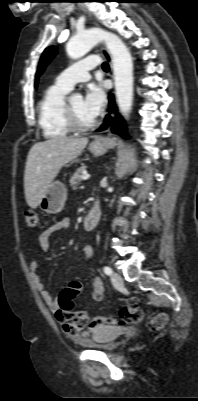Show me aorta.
Here are the masks:
<instances>
[{
  "instance_id": "aorta-1",
  "label": "aorta",
  "mask_w": 198,
  "mask_h": 401,
  "mask_svg": "<svg viewBox=\"0 0 198 401\" xmlns=\"http://www.w3.org/2000/svg\"><path fill=\"white\" fill-rule=\"evenodd\" d=\"M100 41H104L112 56L115 91L120 112L127 117L133 102V62L123 41L115 34L101 28H91L72 37L66 45L70 58L78 59L88 53ZM81 98L75 94L70 101Z\"/></svg>"
}]
</instances>
